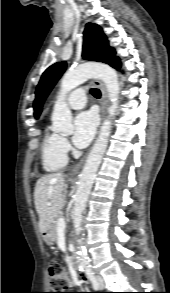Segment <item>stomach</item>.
<instances>
[{
  "label": "stomach",
  "instance_id": "stomach-1",
  "mask_svg": "<svg viewBox=\"0 0 170 293\" xmlns=\"http://www.w3.org/2000/svg\"><path fill=\"white\" fill-rule=\"evenodd\" d=\"M44 240L48 244H52L54 242L55 238L50 229L44 233Z\"/></svg>",
  "mask_w": 170,
  "mask_h": 293
}]
</instances>
